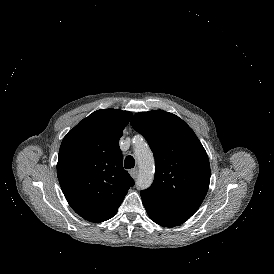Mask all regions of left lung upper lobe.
<instances>
[{
  "mask_svg": "<svg viewBox=\"0 0 274 274\" xmlns=\"http://www.w3.org/2000/svg\"><path fill=\"white\" fill-rule=\"evenodd\" d=\"M131 125L148 141L155 158V178L147 191L196 211L209 188L210 165L193 130L163 110L137 113Z\"/></svg>",
  "mask_w": 274,
  "mask_h": 274,
  "instance_id": "1",
  "label": "left lung upper lobe"
}]
</instances>
